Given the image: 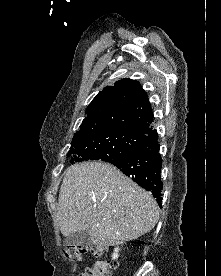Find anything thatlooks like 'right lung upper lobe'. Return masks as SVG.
<instances>
[{
  "mask_svg": "<svg viewBox=\"0 0 221 276\" xmlns=\"http://www.w3.org/2000/svg\"><path fill=\"white\" fill-rule=\"evenodd\" d=\"M86 114L73 141L112 132L144 138L151 132L154 119L147 94L131 79L104 88L92 100Z\"/></svg>",
  "mask_w": 221,
  "mask_h": 276,
  "instance_id": "cb5924a9",
  "label": "right lung upper lobe"
}]
</instances>
